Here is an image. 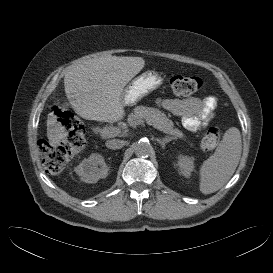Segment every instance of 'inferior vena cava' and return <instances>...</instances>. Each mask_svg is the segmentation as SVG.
Segmentation results:
<instances>
[{
  "label": "inferior vena cava",
  "mask_w": 273,
  "mask_h": 273,
  "mask_svg": "<svg viewBox=\"0 0 273 273\" xmlns=\"http://www.w3.org/2000/svg\"><path fill=\"white\" fill-rule=\"evenodd\" d=\"M106 147L109 149H121L125 145V141L113 139L106 141Z\"/></svg>",
  "instance_id": "inferior-vena-cava-1"
}]
</instances>
